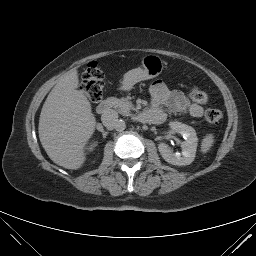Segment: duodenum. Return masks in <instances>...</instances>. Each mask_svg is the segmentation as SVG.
Returning <instances> with one entry per match:
<instances>
[{"instance_id": "duodenum-1", "label": "duodenum", "mask_w": 256, "mask_h": 256, "mask_svg": "<svg viewBox=\"0 0 256 256\" xmlns=\"http://www.w3.org/2000/svg\"><path fill=\"white\" fill-rule=\"evenodd\" d=\"M112 108V102L110 100H104L102 101L96 108V111L98 114H106L108 113ZM140 119L142 121H151V116L149 112H144L140 115Z\"/></svg>"}]
</instances>
